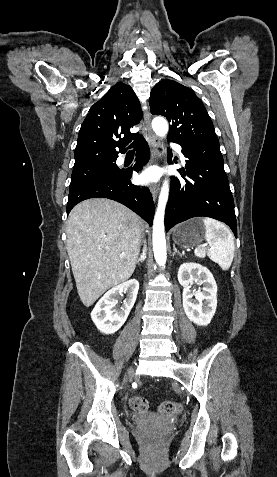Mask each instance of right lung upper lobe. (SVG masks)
I'll use <instances>...</instances> for the list:
<instances>
[{
	"instance_id": "right-lung-upper-lobe-1",
	"label": "right lung upper lobe",
	"mask_w": 277,
	"mask_h": 477,
	"mask_svg": "<svg viewBox=\"0 0 277 477\" xmlns=\"http://www.w3.org/2000/svg\"><path fill=\"white\" fill-rule=\"evenodd\" d=\"M141 118L140 103L133 89L122 82L115 84L90 108L81 125L73 168L116 160L117 147L125 153L133 139L139 140L138 133H131L130 128ZM115 138L120 139L115 141ZM137 143L134 141L132 145Z\"/></svg>"
}]
</instances>
